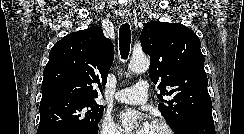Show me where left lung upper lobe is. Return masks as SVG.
<instances>
[{"instance_id":"1","label":"left lung upper lobe","mask_w":244,"mask_h":134,"mask_svg":"<svg viewBox=\"0 0 244 134\" xmlns=\"http://www.w3.org/2000/svg\"><path fill=\"white\" fill-rule=\"evenodd\" d=\"M141 45L150 56L151 80L160 90L158 109L171 129L177 133L192 120L213 122L205 59L197 35L180 23L151 21L141 32Z\"/></svg>"}]
</instances>
